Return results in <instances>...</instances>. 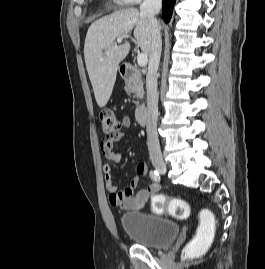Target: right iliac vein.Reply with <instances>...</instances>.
Listing matches in <instances>:
<instances>
[{"mask_svg": "<svg viewBox=\"0 0 265 269\" xmlns=\"http://www.w3.org/2000/svg\"><path fill=\"white\" fill-rule=\"evenodd\" d=\"M153 166L155 169L160 172L161 174H165L167 171V167L165 162L162 159H155L153 160Z\"/></svg>", "mask_w": 265, "mask_h": 269, "instance_id": "63e3f726", "label": "right iliac vein"}]
</instances>
